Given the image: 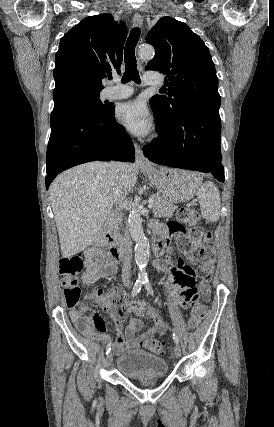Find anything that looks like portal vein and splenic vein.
Segmentation results:
<instances>
[{"label":"portal vein and splenic vein","instance_id":"18ae733b","mask_svg":"<svg viewBox=\"0 0 274 427\" xmlns=\"http://www.w3.org/2000/svg\"><path fill=\"white\" fill-rule=\"evenodd\" d=\"M153 206H154V204H153V200H152V202H150L148 208H153Z\"/></svg>","mask_w":274,"mask_h":427}]
</instances>
